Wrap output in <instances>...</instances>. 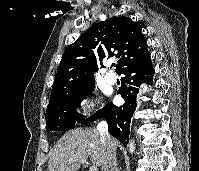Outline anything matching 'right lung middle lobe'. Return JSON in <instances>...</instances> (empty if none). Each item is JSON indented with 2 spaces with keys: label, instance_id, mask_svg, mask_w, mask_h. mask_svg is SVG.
<instances>
[{
  "label": "right lung middle lobe",
  "instance_id": "right-lung-middle-lobe-1",
  "mask_svg": "<svg viewBox=\"0 0 199 171\" xmlns=\"http://www.w3.org/2000/svg\"><path fill=\"white\" fill-rule=\"evenodd\" d=\"M95 87V83L89 84L71 96H68L47 107L46 110V130L63 131L71 129L76 122L85 118L76 112L75 107L90 94Z\"/></svg>",
  "mask_w": 199,
  "mask_h": 171
}]
</instances>
